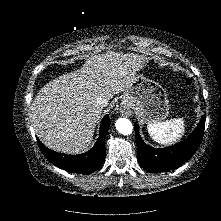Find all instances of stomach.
Here are the masks:
<instances>
[{"label": "stomach", "instance_id": "1", "mask_svg": "<svg viewBox=\"0 0 221 221\" xmlns=\"http://www.w3.org/2000/svg\"><path fill=\"white\" fill-rule=\"evenodd\" d=\"M122 105L133 109L147 123L161 122L169 114L166 91L143 74H137L135 81L124 91Z\"/></svg>", "mask_w": 221, "mask_h": 221}]
</instances>
